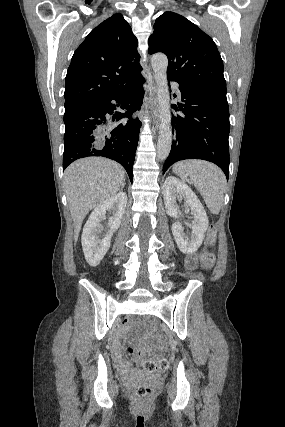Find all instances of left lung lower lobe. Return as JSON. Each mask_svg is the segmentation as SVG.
<instances>
[{
	"label": "left lung lower lobe",
	"mask_w": 285,
	"mask_h": 427,
	"mask_svg": "<svg viewBox=\"0 0 285 427\" xmlns=\"http://www.w3.org/2000/svg\"><path fill=\"white\" fill-rule=\"evenodd\" d=\"M179 90L183 104L173 108L186 117L173 115L178 142H172L163 174L177 161L202 159L218 165L228 179L230 122L226 96L181 85Z\"/></svg>",
	"instance_id": "obj_1"
}]
</instances>
